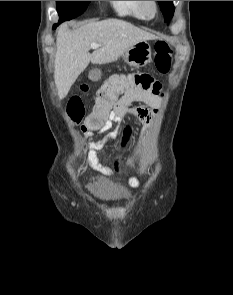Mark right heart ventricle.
Here are the masks:
<instances>
[{
    "mask_svg": "<svg viewBox=\"0 0 233 295\" xmlns=\"http://www.w3.org/2000/svg\"><path fill=\"white\" fill-rule=\"evenodd\" d=\"M112 8L120 16L144 20L145 17L139 8V1H109Z\"/></svg>",
    "mask_w": 233,
    "mask_h": 295,
    "instance_id": "right-heart-ventricle-1",
    "label": "right heart ventricle"
}]
</instances>
